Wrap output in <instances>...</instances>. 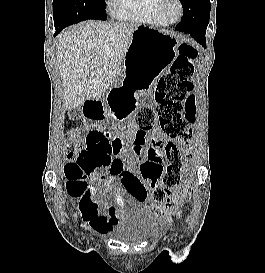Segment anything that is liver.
Masks as SVG:
<instances>
[{
	"instance_id": "obj_1",
	"label": "liver",
	"mask_w": 265,
	"mask_h": 273,
	"mask_svg": "<svg viewBox=\"0 0 265 273\" xmlns=\"http://www.w3.org/2000/svg\"><path fill=\"white\" fill-rule=\"evenodd\" d=\"M139 23L87 21L58 36L56 56L66 109L103 95L116 80Z\"/></svg>"
}]
</instances>
